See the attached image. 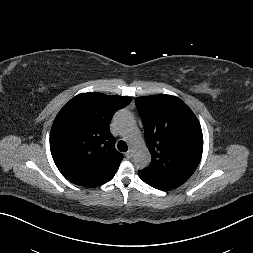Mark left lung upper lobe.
<instances>
[{
    "label": "left lung upper lobe",
    "mask_w": 253,
    "mask_h": 253,
    "mask_svg": "<svg viewBox=\"0 0 253 253\" xmlns=\"http://www.w3.org/2000/svg\"><path fill=\"white\" fill-rule=\"evenodd\" d=\"M151 163L139 170L144 178L182 185L196 170L203 151V134L192 110L178 97H137Z\"/></svg>",
    "instance_id": "1"
}]
</instances>
